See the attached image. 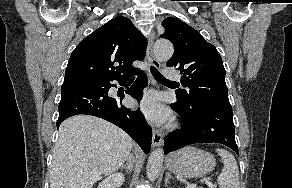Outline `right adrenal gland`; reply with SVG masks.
<instances>
[{
  "mask_svg": "<svg viewBox=\"0 0 292 188\" xmlns=\"http://www.w3.org/2000/svg\"><path fill=\"white\" fill-rule=\"evenodd\" d=\"M122 169H126L127 173L132 171V160H130L126 165L121 166Z\"/></svg>",
  "mask_w": 292,
  "mask_h": 188,
  "instance_id": "1",
  "label": "right adrenal gland"
}]
</instances>
